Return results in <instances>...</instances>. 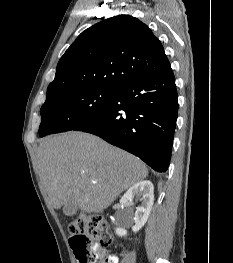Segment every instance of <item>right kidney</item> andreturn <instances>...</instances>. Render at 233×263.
Masks as SVG:
<instances>
[{
	"instance_id": "ca27d5eb",
	"label": "right kidney",
	"mask_w": 233,
	"mask_h": 263,
	"mask_svg": "<svg viewBox=\"0 0 233 263\" xmlns=\"http://www.w3.org/2000/svg\"><path fill=\"white\" fill-rule=\"evenodd\" d=\"M134 197H136L137 201H141V205L136 208L133 218L135 225L132 227V230L137 232L147 222L154 203V186L152 182L149 180L137 182L122 196L120 203L123 205L132 204ZM115 232L120 237L127 234L124 228H116Z\"/></svg>"
}]
</instances>
